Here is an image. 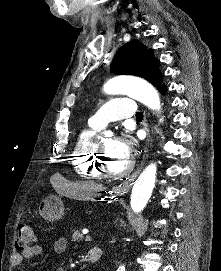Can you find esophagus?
Instances as JSON below:
<instances>
[{
    "label": "esophagus",
    "instance_id": "1",
    "mask_svg": "<svg viewBox=\"0 0 221 271\" xmlns=\"http://www.w3.org/2000/svg\"><path fill=\"white\" fill-rule=\"evenodd\" d=\"M143 126H144V130L147 133L146 140H148L149 139V128L147 126L146 121H144ZM144 151H146V150H144ZM142 166H143V163H142V165L140 166V168L137 171H135L126 181H123V183L121 184V186L115 188L114 191L115 192H119V193L128 191L131 188L132 183L135 181V179L137 178L138 174L140 173V171L142 169Z\"/></svg>",
    "mask_w": 221,
    "mask_h": 271
}]
</instances>
